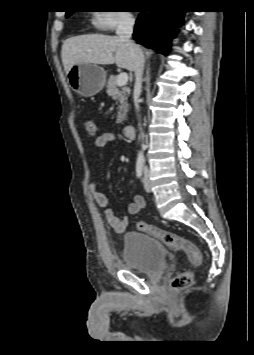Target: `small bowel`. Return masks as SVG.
I'll use <instances>...</instances> for the list:
<instances>
[{
    "instance_id": "obj_1",
    "label": "small bowel",
    "mask_w": 254,
    "mask_h": 355,
    "mask_svg": "<svg viewBox=\"0 0 254 355\" xmlns=\"http://www.w3.org/2000/svg\"><path fill=\"white\" fill-rule=\"evenodd\" d=\"M115 140L116 136L113 133H102L94 140V147L102 149ZM89 191L97 205L103 209L108 224L117 234H122L128 226V216L119 217L115 215L113 210L109 207L108 198L100 192L95 183L90 184ZM145 205L146 201L144 197L141 195H135L128 205L127 212L129 215H136L145 207Z\"/></svg>"
}]
</instances>
